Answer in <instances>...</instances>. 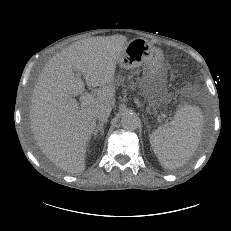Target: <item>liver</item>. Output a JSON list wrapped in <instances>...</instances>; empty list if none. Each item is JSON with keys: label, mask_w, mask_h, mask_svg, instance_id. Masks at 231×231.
I'll use <instances>...</instances> for the list:
<instances>
[{"label": "liver", "mask_w": 231, "mask_h": 231, "mask_svg": "<svg viewBox=\"0 0 231 231\" xmlns=\"http://www.w3.org/2000/svg\"><path fill=\"white\" fill-rule=\"evenodd\" d=\"M127 41L123 35L90 37L53 56L39 75L31 96L30 126L42 153L70 173L85 170L88 143L96 129V111L115 105V72ZM88 87H99L84 107L72 98Z\"/></svg>", "instance_id": "1"}]
</instances>
